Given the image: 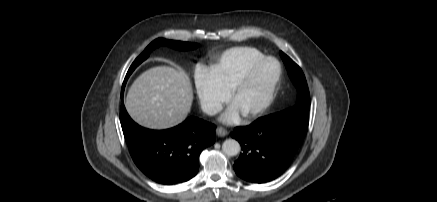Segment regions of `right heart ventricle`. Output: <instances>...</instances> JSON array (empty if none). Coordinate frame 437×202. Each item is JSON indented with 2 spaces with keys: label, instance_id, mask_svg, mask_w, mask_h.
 I'll list each match as a JSON object with an SVG mask.
<instances>
[{
  "label": "right heart ventricle",
  "instance_id": "obj_1",
  "mask_svg": "<svg viewBox=\"0 0 437 202\" xmlns=\"http://www.w3.org/2000/svg\"><path fill=\"white\" fill-rule=\"evenodd\" d=\"M265 57L258 49L250 46L233 47L221 54L211 70L229 91L255 61Z\"/></svg>",
  "mask_w": 437,
  "mask_h": 202
}]
</instances>
